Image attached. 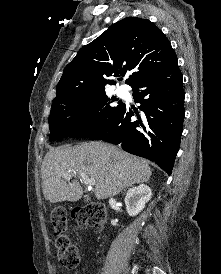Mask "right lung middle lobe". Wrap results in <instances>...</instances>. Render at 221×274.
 Wrapping results in <instances>:
<instances>
[{"mask_svg": "<svg viewBox=\"0 0 221 274\" xmlns=\"http://www.w3.org/2000/svg\"><path fill=\"white\" fill-rule=\"evenodd\" d=\"M114 101L116 99L101 93L85 98H66L52 104L48 120L50 140L90 137L118 115L124 104L118 102L120 104L115 107L111 105Z\"/></svg>", "mask_w": 221, "mask_h": 274, "instance_id": "1", "label": "right lung middle lobe"}]
</instances>
